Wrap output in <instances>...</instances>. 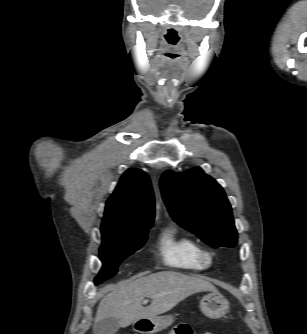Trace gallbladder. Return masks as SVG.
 Returning <instances> with one entry per match:
<instances>
[{"label": "gallbladder", "instance_id": "gallbladder-1", "mask_svg": "<svg viewBox=\"0 0 307 334\" xmlns=\"http://www.w3.org/2000/svg\"><path fill=\"white\" fill-rule=\"evenodd\" d=\"M120 328V320L106 318L94 324V334H115Z\"/></svg>", "mask_w": 307, "mask_h": 334}]
</instances>
